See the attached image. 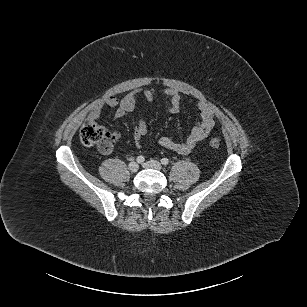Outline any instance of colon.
Masks as SVG:
<instances>
[{
  "mask_svg": "<svg viewBox=\"0 0 307 307\" xmlns=\"http://www.w3.org/2000/svg\"><path fill=\"white\" fill-rule=\"evenodd\" d=\"M80 139L86 146H96L99 152L108 154L112 151L118 136L100 126L95 120L88 119L80 129ZM212 148H219L220 141L212 138L209 141Z\"/></svg>",
  "mask_w": 307,
  "mask_h": 307,
  "instance_id": "colon-1",
  "label": "colon"
}]
</instances>
